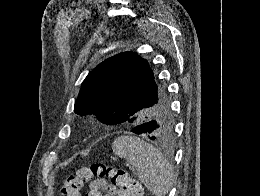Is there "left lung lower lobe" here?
I'll list each match as a JSON object with an SVG mask.
<instances>
[{
  "instance_id": "left-lung-lower-lobe-1",
  "label": "left lung lower lobe",
  "mask_w": 260,
  "mask_h": 196,
  "mask_svg": "<svg viewBox=\"0 0 260 196\" xmlns=\"http://www.w3.org/2000/svg\"><path fill=\"white\" fill-rule=\"evenodd\" d=\"M134 108L118 106L116 108H109L104 110L99 119L107 124H118L126 122L133 114ZM154 123L152 121L144 122L131 129V132L135 134H141L145 136H150L154 130ZM150 138V137H149ZM151 139V138H150Z\"/></svg>"
}]
</instances>
